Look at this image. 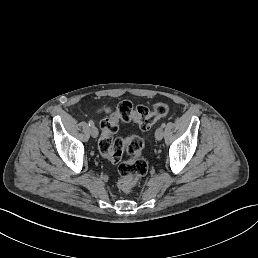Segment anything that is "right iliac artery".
<instances>
[{"instance_id": "1", "label": "right iliac artery", "mask_w": 258, "mask_h": 258, "mask_svg": "<svg viewBox=\"0 0 258 258\" xmlns=\"http://www.w3.org/2000/svg\"><path fill=\"white\" fill-rule=\"evenodd\" d=\"M88 124L89 126H94V122L92 120H89Z\"/></svg>"}]
</instances>
